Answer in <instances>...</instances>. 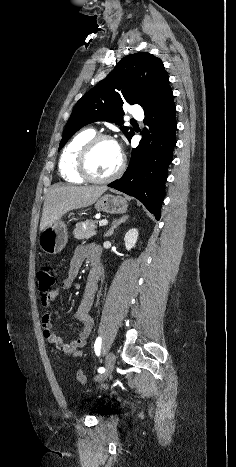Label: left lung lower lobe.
I'll list each match as a JSON object with an SVG mask.
<instances>
[{
    "instance_id": "left-lung-lower-lobe-1",
    "label": "left lung lower lobe",
    "mask_w": 236,
    "mask_h": 467,
    "mask_svg": "<svg viewBox=\"0 0 236 467\" xmlns=\"http://www.w3.org/2000/svg\"><path fill=\"white\" fill-rule=\"evenodd\" d=\"M175 113L176 107L169 87L159 100L145 111V123L149 125L150 131L142 132L145 138L136 149H132L127 170L120 179L108 185L136 197L157 220L161 217L167 169L176 144Z\"/></svg>"
}]
</instances>
